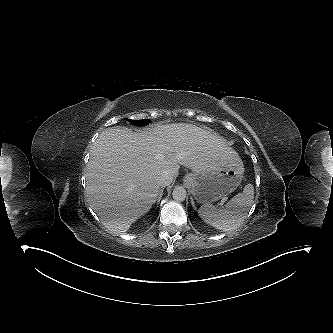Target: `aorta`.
<instances>
[{
	"label": "aorta",
	"instance_id": "aorta-1",
	"mask_svg": "<svg viewBox=\"0 0 333 333\" xmlns=\"http://www.w3.org/2000/svg\"><path fill=\"white\" fill-rule=\"evenodd\" d=\"M186 195H187L186 189L182 186L175 187L172 192V197L176 201H184Z\"/></svg>",
	"mask_w": 333,
	"mask_h": 333
}]
</instances>
